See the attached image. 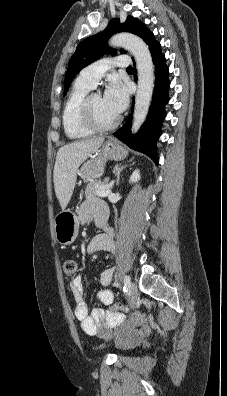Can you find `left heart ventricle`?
Returning a JSON list of instances; mask_svg holds the SVG:
<instances>
[{"instance_id": "b2bd125f", "label": "left heart ventricle", "mask_w": 227, "mask_h": 396, "mask_svg": "<svg viewBox=\"0 0 227 396\" xmlns=\"http://www.w3.org/2000/svg\"><path fill=\"white\" fill-rule=\"evenodd\" d=\"M91 104L94 114L100 123L106 124L116 118L104 105L103 97L99 94H94L91 98Z\"/></svg>"}]
</instances>
